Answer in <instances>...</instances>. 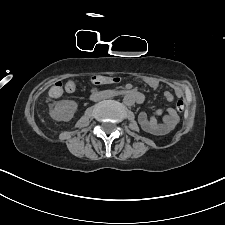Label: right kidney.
I'll use <instances>...</instances> for the list:
<instances>
[{
    "label": "right kidney",
    "instance_id": "right-kidney-1",
    "mask_svg": "<svg viewBox=\"0 0 225 225\" xmlns=\"http://www.w3.org/2000/svg\"><path fill=\"white\" fill-rule=\"evenodd\" d=\"M77 103L72 100H62L54 103L50 109V116L57 121H69L77 110Z\"/></svg>",
    "mask_w": 225,
    "mask_h": 225
}]
</instances>
